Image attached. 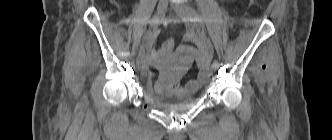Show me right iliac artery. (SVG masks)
<instances>
[{"instance_id": "1", "label": "right iliac artery", "mask_w": 332, "mask_h": 140, "mask_svg": "<svg viewBox=\"0 0 332 140\" xmlns=\"http://www.w3.org/2000/svg\"><path fill=\"white\" fill-rule=\"evenodd\" d=\"M162 14H156L152 17V19L149 21V26L147 30L144 32L142 37V45L148 48L149 41L151 40L153 36V28L155 25L159 24L161 22Z\"/></svg>"}]
</instances>
